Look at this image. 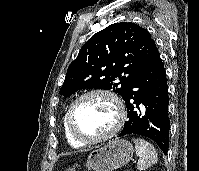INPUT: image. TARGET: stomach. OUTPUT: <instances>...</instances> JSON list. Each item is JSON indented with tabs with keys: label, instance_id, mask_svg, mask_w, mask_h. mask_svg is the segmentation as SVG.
Here are the masks:
<instances>
[{
	"label": "stomach",
	"instance_id": "1",
	"mask_svg": "<svg viewBox=\"0 0 199 171\" xmlns=\"http://www.w3.org/2000/svg\"><path fill=\"white\" fill-rule=\"evenodd\" d=\"M132 144L124 139H115L89 153L86 167L92 171H114L125 166L133 156ZM76 171V167L68 169Z\"/></svg>",
	"mask_w": 199,
	"mask_h": 171
}]
</instances>
